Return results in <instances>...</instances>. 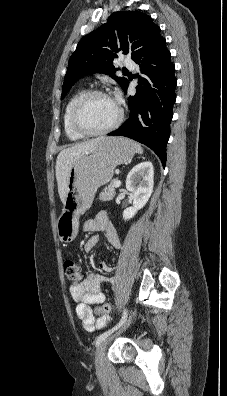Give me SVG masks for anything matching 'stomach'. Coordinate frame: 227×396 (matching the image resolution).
<instances>
[{"label":"stomach","instance_id":"stomach-1","mask_svg":"<svg viewBox=\"0 0 227 396\" xmlns=\"http://www.w3.org/2000/svg\"><path fill=\"white\" fill-rule=\"evenodd\" d=\"M136 152L129 139L105 137L71 166L64 208L57 220L60 241L69 243L76 238L79 216L91 206L97 189L112 179L117 165L131 161Z\"/></svg>","mask_w":227,"mask_h":396}]
</instances>
